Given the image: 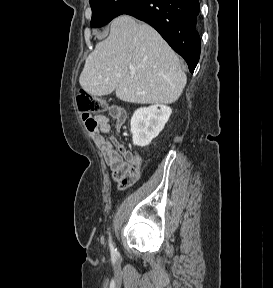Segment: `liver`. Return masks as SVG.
<instances>
[{"label": "liver", "instance_id": "6515ba94", "mask_svg": "<svg viewBox=\"0 0 273 288\" xmlns=\"http://www.w3.org/2000/svg\"><path fill=\"white\" fill-rule=\"evenodd\" d=\"M79 83L94 96L115 90L125 102L172 104L186 85V75L155 29L122 15L112 21L108 38L87 57Z\"/></svg>", "mask_w": 273, "mask_h": 288}]
</instances>
